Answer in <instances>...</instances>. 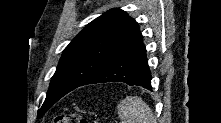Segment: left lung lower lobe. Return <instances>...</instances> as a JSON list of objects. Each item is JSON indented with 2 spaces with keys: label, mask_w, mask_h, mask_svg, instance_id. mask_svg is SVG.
<instances>
[{
  "label": "left lung lower lobe",
  "mask_w": 221,
  "mask_h": 123,
  "mask_svg": "<svg viewBox=\"0 0 221 123\" xmlns=\"http://www.w3.org/2000/svg\"><path fill=\"white\" fill-rule=\"evenodd\" d=\"M103 82H124L152 89L143 40L102 66L80 86Z\"/></svg>",
  "instance_id": "left-lung-lower-lobe-1"
}]
</instances>
